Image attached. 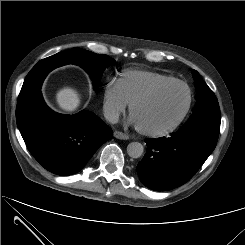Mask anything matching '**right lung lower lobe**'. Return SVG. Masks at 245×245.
I'll return each mask as SVG.
<instances>
[{
	"instance_id": "right-lung-lower-lobe-1",
	"label": "right lung lower lobe",
	"mask_w": 245,
	"mask_h": 245,
	"mask_svg": "<svg viewBox=\"0 0 245 245\" xmlns=\"http://www.w3.org/2000/svg\"><path fill=\"white\" fill-rule=\"evenodd\" d=\"M16 120L30 153L57 175L77 173L112 136V129L90 111L55 113L45 104L41 91L17 105Z\"/></svg>"
}]
</instances>
